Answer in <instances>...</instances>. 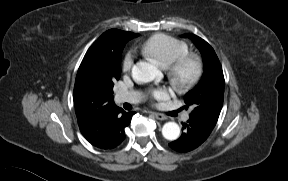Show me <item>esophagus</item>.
Here are the masks:
<instances>
[{
    "label": "esophagus",
    "mask_w": 288,
    "mask_h": 181,
    "mask_svg": "<svg viewBox=\"0 0 288 181\" xmlns=\"http://www.w3.org/2000/svg\"><path fill=\"white\" fill-rule=\"evenodd\" d=\"M154 117L158 120H166L167 117L162 113L153 112Z\"/></svg>",
    "instance_id": "34e87169"
}]
</instances>
